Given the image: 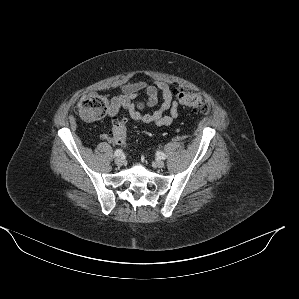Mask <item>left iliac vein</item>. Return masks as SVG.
<instances>
[{"mask_svg": "<svg viewBox=\"0 0 299 299\" xmlns=\"http://www.w3.org/2000/svg\"><path fill=\"white\" fill-rule=\"evenodd\" d=\"M154 165L157 167V168H163L164 167V162L162 160H156L154 162Z\"/></svg>", "mask_w": 299, "mask_h": 299, "instance_id": "obj_1", "label": "left iliac vein"}]
</instances>
